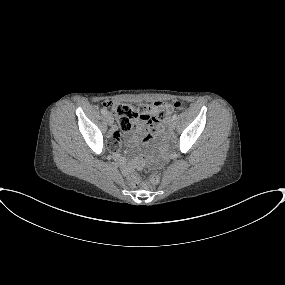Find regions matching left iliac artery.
Returning a JSON list of instances; mask_svg holds the SVG:
<instances>
[{
    "mask_svg": "<svg viewBox=\"0 0 285 285\" xmlns=\"http://www.w3.org/2000/svg\"><path fill=\"white\" fill-rule=\"evenodd\" d=\"M172 119H173V120H176V119H177V115L174 114L173 117H172Z\"/></svg>",
    "mask_w": 285,
    "mask_h": 285,
    "instance_id": "left-iliac-artery-1",
    "label": "left iliac artery"
}]
</instances>
